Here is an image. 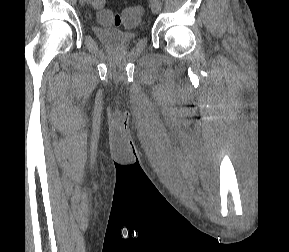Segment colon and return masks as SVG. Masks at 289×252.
Wrapping results in <instances>:
<instances>
[{
	"label": "colon",
	"mask_w": 289,
	"mask_h": 252,
	"mask_svg": "<svg viewBox=\"0 0 289 252\" xmlns=\"http://www.w3.org/2000/svg\"><path fill=\"white\" fill-rule=\"evenodd\" d=\"M105 0H94L93 7L97 10L98 20L105 25H116L125 28L136 26L142 19L143 9L140 6H132L121 14H114L104 7Z\"/></svg>",
	"instance_id": "obj_1"
}]
</instances>
